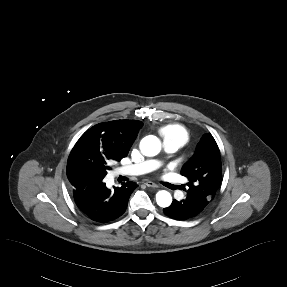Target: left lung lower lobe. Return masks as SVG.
Returning <instances> with one entry per match:
<instances>
[{"mask_svg": "<svg viewBox=\"0 0 287 287\" xmlns=\"http://www.w3.org/2000/svg\"><path fill=\"white\" fill-rule=\"evenodd\" d=\"M205 207L187 196L182 201L173 200L172 204L163 210L167 216L173 219L186 220L197 216Z\"/></svg>", "mask_w": 287, "mask_h": 287, "instance_id": "0a47b994", "label": "left lung lower lobe"}]
</instances>
